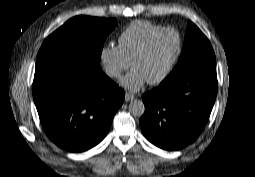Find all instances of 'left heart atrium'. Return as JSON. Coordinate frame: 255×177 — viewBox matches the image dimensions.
<instances>
[{
  "mask_svg": "<svg viewBox=\"0 0 255 177\" xmlns=\"http://www.w3.org/2000/svg\"><path fill=\"white\" fill-rule=\"evenodd\" d=\"M147 79L137 70H132L121 80V85L131 92L140 90Z\"/></svg>",
  "mask_w": 255,
  "mask_h": 177,
  "instance_id": "obj_1",
  "label": "left heart atrium"
}]
</instances>
